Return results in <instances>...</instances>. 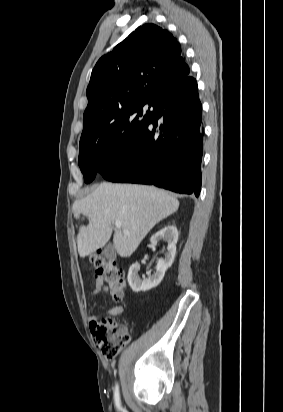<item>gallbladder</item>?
Segmentation results:
<instances>
[{"mask_svg": "<svg viewBox=\"0 0 283 412\" xmlns=\"http://www.w3.org/2000/svg\"><path fill=\"white\" fill-rule=\"evenodd\" d=\"M104 255L109 261H112L115 258V248L112 244L107 245Z\"/></svg>", "mask_w": 283, "mask_h": 412, "instance_id": "obj_1", "label": "gallbladder"}]
</instances>
